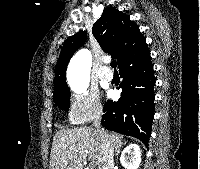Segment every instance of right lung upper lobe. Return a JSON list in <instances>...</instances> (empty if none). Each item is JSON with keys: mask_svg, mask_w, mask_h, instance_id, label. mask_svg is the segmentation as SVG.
Instances as JSON below:
<instances>
[{"mask_svg": "<svg viewBox=\"0 0 200 169\" xmlns=\"http://www.w3.org/2000/svg\"><path fill=\"white\" fill-rule=\"evenodd\" d=\"M92 34L101 48L117 59L119 68L149 52L139 27L128 15L112 7L104 9L93 25ZM86 37L85 32L79 31L64 42L56 64L53 95L70 92L65 78L66 68L72 55L86 41Z\"/></svg>", "mask_w": 200, "mask_h": 169, "instance_id": "1", "label": "right lung upper lobe"}]
</instances>
